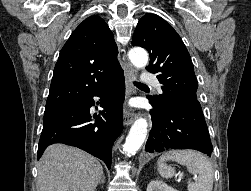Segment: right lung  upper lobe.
<instances>
[{"instance_id": "obj_1", "label": "right lung upper lobe", "mask_w": 251, "mask_h": 191, "mask_svg": "<svg viewBox=\"0 0 251 191\" xmlns=\"http://www.w3.org/2000/svg\"><path fill=\"white\" fill-rule=\"evenodd\" d=\"M117 54L105 21L98 16L85 19L60 51L45 110L74 105L123 75Z\"/></svg>"}]
</instances>
